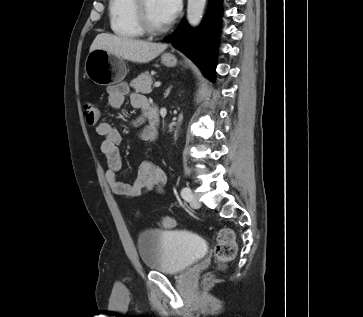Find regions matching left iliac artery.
<instances>
[{
  "mask_svg": "<svg viewBox=\"0 0 363 317\" xmlns=\"http://www.w3.org/2000/svg\"><path fill=\"white\" fill-rule=\"evenodd\" d=\"M191 189L189 187H184L181 190V196L185 199V200H190L191 198Z\"/></svg>",
  "mask_w": 363,
  "mask_h": 317,
  "instance_id": "obj_1",
  "label": "left iliac artery"
}]
</instances>
